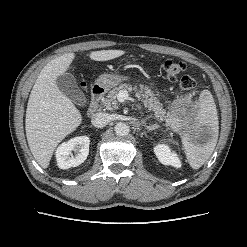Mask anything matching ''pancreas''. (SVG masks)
<instances>
[{
    "mask_svg": "<svg viewBox=\"0 0 247 247\" xmlns=\"http://www.w3.org/2000/svg\"><path fill=\"white\" fill-rule=\"evenodd\" d=\"M121 90H126L129 92H134L136 97L141 99L146 107L149 110H152L157 119L163 121L164 119L169 121V115L166 116V111L163 109L162 104L159 102L158 98L155 97L154 92L145 85H140L132 87L131 84H120L119 86L113 88L109 91L106 98L102 100V105L105 106L108 110L117 109V94Z\"/></svg>",
    "mask_w": 247,
    "mask_h": 247,
    "instance_id": "pancreas-1",
    "label": "pancreas"
}]
</instances>
